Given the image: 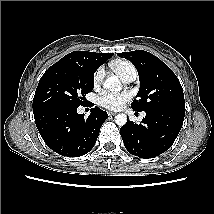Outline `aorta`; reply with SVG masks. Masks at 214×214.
<instances>
[{
  "label": "aorta",
  "instance_id": "aorta-1",
  "mask_svg": "<svg viewBox=\"0 0 214 214\" xmlns=\"http://www.w3.org/2000/svg\"><path fill=\"white\" fill-rule=\"evenodd\" d=\"M120 84L119 79L117 76H110L108 77L103 84V87L106 89H115ZM115 122L119 126H123L127 122V116L126 114H118L115 116Z\"/></svg>",
  "mask_w": 214,
  "mask_h": 214
}]
</instances>
